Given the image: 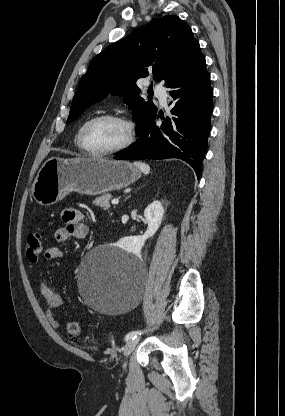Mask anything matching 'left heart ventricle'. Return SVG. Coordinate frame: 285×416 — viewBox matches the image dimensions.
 Here are the masks:
<instances>
[{
    "label": "left heart ventricle",
    "instance_id": "b2bd125f",
    "mask_svg": "<svg viewBox=\"0 0 285 416\" xmlns=\"http://www.w3.org/2000/svg\"><path fill=\"white\" fill-rule=\"evenodd\" d=\"M124 135V129L119 123L110 119H98L87 126L84 140L90 149L104 151L120 145Z\"/></svg>",
    "mask_w": 285,
    "mask_h": 416
}]
</instances>
